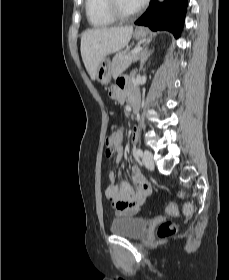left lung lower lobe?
I'll return each mask as SVG.
<instances>
[{
    "label": "left lung lower lobe",
    "mask_w": 229,
    "mask_h": 280,
    "mask_svg": "<svg viewBox=\"0 0 229 280\" xmlns=\"http://www.w3.org/2000/svg\"><path fill=\"white\" fill-rule=\"evenodd\" d=\"M188 0H152L147 11L135 22L150 29L168 30L176 38L180 36L184 24Z\"/></svg>",
    "instance_id": "obj_1"
}]
</instances>
